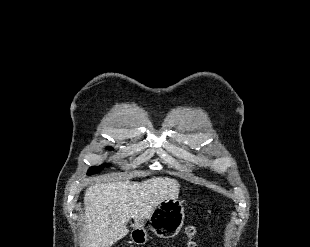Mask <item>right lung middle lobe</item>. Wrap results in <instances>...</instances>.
Here are the masks:
<instances>
[{
    "instance_id": "dd1d6c3e",
    "label": "right lung middle lobe",
    "mask_w": 310,
    "mask_h": 247,
    "mask_svg": "<svg viewBox=\"0 0 310 247\" xmlns=\"http://www.w3.org/2000/svg\"><path fill=\"white\" fill-rule=\"evenodd\" d=\"M105 166L107 165H101L99 167H91L88 171V175H91V174H95V173H98L100 172V170H102Z\"/></svg>"
}]
</instances>
